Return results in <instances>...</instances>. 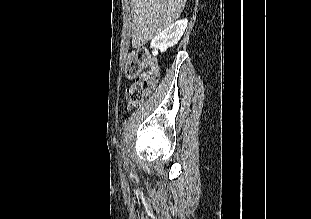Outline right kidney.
Listing matches in <instances>:
<instances>
[{
    "mask_svg": "<svg viewBox=\"0 0 311 219\" xmlns=\"http://www.w3.org/2000/svg\"><path fill=\"white\" fill-rule=\"evenodd\" d=\"M188 24L187 19L179 20L168 26L163 32L158 34L151 42L153 56L158 55V50L165 52L169 47H173L182 37Z\"/></svg>",
    "mask_w": 311,
    "mask_h": 219,
    "instance_id": "1",
    "label": "right kidney"
}]
</instances>
